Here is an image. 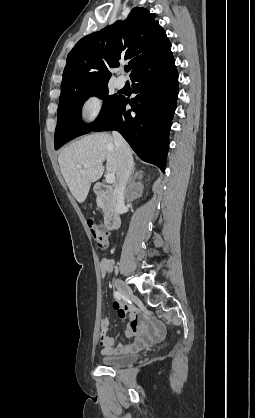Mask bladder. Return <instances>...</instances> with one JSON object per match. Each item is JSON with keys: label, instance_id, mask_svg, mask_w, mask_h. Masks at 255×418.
Returning a JSON list of instances; mask_svg holds the SVG:
<instances>
[{"label": "bladder", "instance_id": "bladder-1", "mask_svg": "<svg viewBox=\"0 0 255 418\" xmlns=\"http://www.w3.org/2000/svg\"><path fill=\"white\" fill-rule=\"evenodd\" d=\"M138 358V354H124L116 356H104L101 358V362L105 366L109 367H125L134 363Z\"/></svg>", "mask_w": 255, "mask_h": 418}]
</instances>
